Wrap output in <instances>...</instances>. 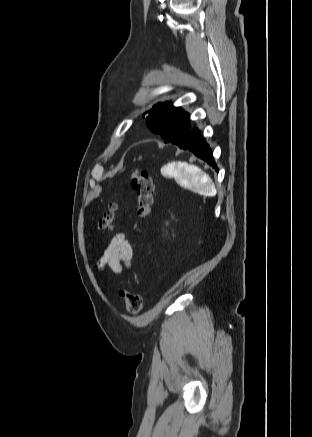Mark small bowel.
<instances>
[{"label": "small bowel", "mask_w": 312, "mask_h": 437, "mask_svg": "<svg viewBox=\"0 0 312 437\" xmlns=\"http://www.w3.org/2000/svg\"><path fill=\"white\" fill-rule=\"evenodd\" d=\"M133 250L124 233H117L111 239L99 259L100 269H108L113 273H121L125 268L131 267Z\"/></svg>", "instance_id": "c3829d8e"}]
</instances>
